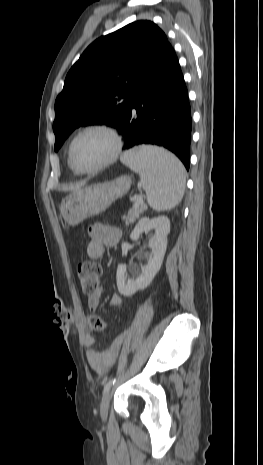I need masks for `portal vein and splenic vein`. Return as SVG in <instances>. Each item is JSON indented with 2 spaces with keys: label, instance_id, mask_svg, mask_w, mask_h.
<instances>
[{
  "label": "portal vein and splenic vein",
  "instance_id": "portal-vein-and-splenic-vein-1",
  "mask_svg": "<svg viewBox=\"0 0 263 465\" xmlns=\"http://www.w3.org/2000/svg\"><path fill=\"white\" fill-rule=\"evenodd\" d=\"M141 203H143V200H142L139 196H137L134 205H135V206H138V205H140Z\"/></svg>",
  "mask_w": 263,
  "mask_h": 465
}]
</instances>
